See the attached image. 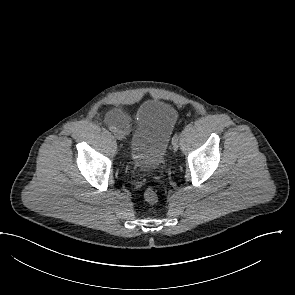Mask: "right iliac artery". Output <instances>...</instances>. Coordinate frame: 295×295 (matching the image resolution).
I'll return each instance as SVG.
<instances>
[{
  "mask_svg": "<svg viewBox=\"0 0 295 295\" xmlns=\"http://www.w3.org/2000/svg\"><path fill=\"white\" fill-rule=\"evenodd\" d=\"M109 130L112 131V132H115L116 131V127L110 126L109 127Z\"/></svg>",
  "mask_w": 295,
  "mask_h": 295,
  "instance_id": "1",
  "label": "right iliac artery"
}]
</instances>
